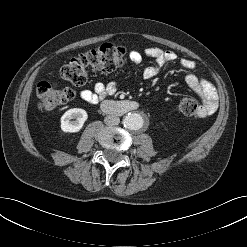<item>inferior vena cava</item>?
<instances>
[{"label":"inferior vena cava","instance_id":"obj_1","mask_svg":"<svg viewBox=\"0 0 247 247\" xmlns=\"http://www.w3.org/2000/svg\"><path fill=\"white\" fill-rule=\"evenodd\" d=\"M104 122L106 125L114 126L120 123V119L115 115H107L104 119Z\"/></svg>","mask_w":247,"mask_h":247}]
</instances>
